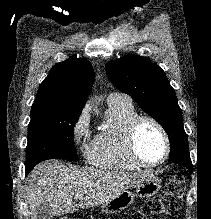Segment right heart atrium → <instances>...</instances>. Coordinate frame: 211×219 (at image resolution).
<instances>
[{"label":"right heart atrium","instance_id":"right-heart-atrium-1","mask_svg":"<svg viewBox=\"0 0 211 219\" xmlns=\"http://www.w3.org/2000/svg\"><path fill=\"white\" fill-rule=\"evenodd\" d=\"M89 133V118L85 113L80 114L75 120L71 136L74 142L79 143L86 139Z\"/></svg>","mask_w":211,"mask_h":219}]
</instances>
